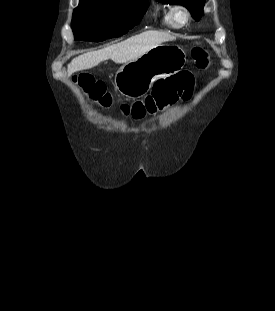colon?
Masks as SVG:
<instances>
[{"label": "colon", "instance_id": "1", "mask_svg": "<svg viewBox=\"0 0 275 311\" xmlns=\"http://www.w3.org/2000/svg\"><path fill=\"white\" fill-rule=\"evenodd\" d=\"M191 55L199 68L204 69L208 66L210 62L209 55L202 47H194ZM76 79L83 87L92 89L94 98L98 99L102 105L107 106L110 104L111 97L103 83L94 81L86 73L80 74ZM192 85L193 77L190 73H178L165 80L156 82L151 95L147 96L143 102L133 104L130 108L137 115H143L146 112L154 113L173 104L180 98L187 99Z\"/></svg>", "mask_w": 275, "mask_h": 311}]
</instances>
